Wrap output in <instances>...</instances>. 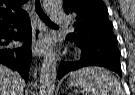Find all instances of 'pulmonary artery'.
<instances>
[{
	"label": "pulmonary artery",
	"instance_id": "e3ab8cb5",
	"mask_svg": "<svg viewBox=\"0 0 135 95\" xmlns=\"http://www.w3.org/2000/svg\"><path fill=\"white\" fill-rule=\"evenodd\" d=\"M64 19H65V15L64 13L58 11V10H55V11H52V20L54 23H62L64 22Z\"/></svg>",
	"mask_w": 135,
	"mask_h": 95
}]
</instances>
